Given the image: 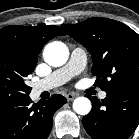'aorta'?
Returning <instances> with one entry per match:
<instances>
[{
  "mask_svg": "<svg viewBox=\"0 0 139 139\" xmlns=\"http://www.w3.org/2000/svg\"><path fill=\"white\" fill-rule=\"evenodd\" d=\"M68 56L67 46L59 41L47 44L43 52L45 62L54 67L64 65ZM73 109L77 114L87 115L91 111V102L86 97H78L73 102Z\"/></svg>",
  "mask_w": 139,
  "mask_h": 139,
  "instance_id": "aorta-1",
  "label": "aorta"
}]
</instances>
